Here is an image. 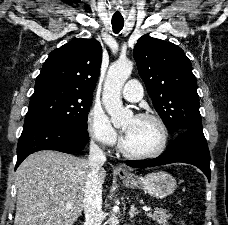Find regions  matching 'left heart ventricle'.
Segmentation results:
<instances>
[{
	"instance_id": "1",
	"label": "left heart ventricle",
	"mask_w": 228,
	"mask_h": 225,
	"mask_svg": "<svg viewBox=\"0 0 228 225\" xmlns=\"http://www.w3.org/2000/svg\"><path fill=\"white\" fill-rule=\"evenodd\" d=\"M126 145L134 151L150 153L159 149L162 133L158 125L150 120L128 119L123 125Z\"/></svg>"
}]
</instances>
